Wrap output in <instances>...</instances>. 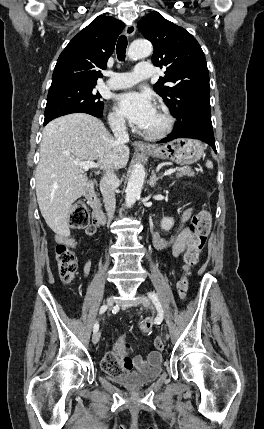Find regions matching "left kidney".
<instances>
[{"mask_svg": "<svg viewBox=\"0 0 264 429\" xmlns=\"http://www.w3.org/2000/svg\"><path fill=\"white\" fill-rule=\"evenodd\" d=\"M174 225V219L170 217H165L161 220V228L165 231H169Z\"/></svg>", "mask_w": 264, "mask_h": 429, "instance_id": "5707ae66", "label": "left kidney"}]
</instances>
